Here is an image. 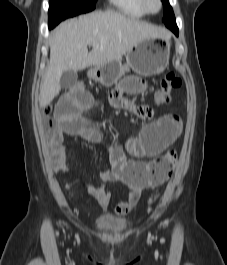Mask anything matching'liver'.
Segmentation results:
<instances>
[{"mask_svg":"<svg viewBox=\"0 0 227 265\" xmlns=\"http://www.w3.org/2000/svg\"><path fill=\"white\" fill-rule=\"evenodd\" d=\"M162 28L115 11L94 12L59 24L50 39V62L40 86V107L60 93V79L68 70L80 71L119 60L148 38L167 39ZM92 46L88 52L87 46Z\"/></svg>","mask_w":227,"mask_h":265,"instance_id":"obj_1","label":"liver"}]
</instances>
